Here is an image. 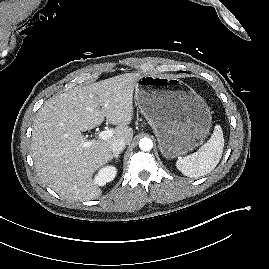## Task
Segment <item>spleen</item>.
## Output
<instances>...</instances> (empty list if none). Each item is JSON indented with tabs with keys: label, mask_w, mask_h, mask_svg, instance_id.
Listing matches in <instances>:
<instances>
[{
	"label": "spleen",
	"mask_w": 269,
	"mask_h": 269,
	"mask_svg": "<svg viewBox=\"0 0 269 269\" xmlns=\"http://www.w3.org/2000/svg\"><path fill=\"white\" fill-rule=\"evenodd\" d=\"M224 149V137L220 125L214 127L211 138L199 150L179 157L177 169L185 176L198 178L210 173L219 163Z\"/></svg>",
	"instance_id": "obj_1"
}]
</instances>
